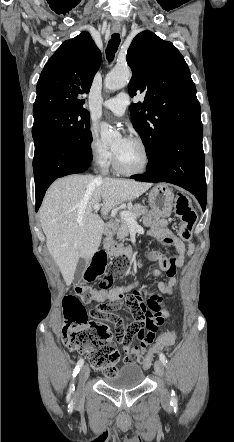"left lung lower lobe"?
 <instances>
[{"instance_id": "left-lung-lower-lobe-1", "label": "left lung lower lobe", "mask_w": 234, "mask_h": 442, "mask_svg": "<svg viewBox=\"0 0 234 442\" xmlns=\"http://www.w3.org/2000/svg\"><path fill=\"white\" fill-rule=\"evenodd\" d=\"M202 137L201 121L176 129L165 139L154 163L147 165V172L132 179L183 187L194 194L205 209L207 189Z\"/></svg>"}]
</instances>
